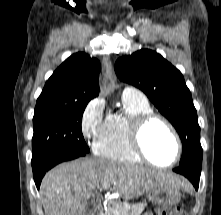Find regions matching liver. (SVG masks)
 Returning <instances> with one entry per match:
<instances>
[{
	"instance_id": "6515ba94",
	"label": "liver",
	"mask_w": 221,
	"mask_h": 215,
	"mask_svg": "<svg viewBox=\"0 0 221 215\" xmlns=\"http://www.w3.org/2000/svg\"><path fill=\"white\" fill-rule=\"evenodd\" d=\"M113 184L125 200L137 198L157 186L189 187L176 174L130 163L80 158L50 170L43 178L40 195L46 215H83L90 196Z\"/></svg>"
}]
</instances>
